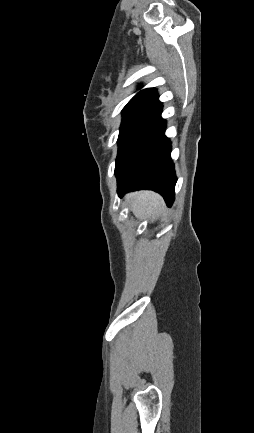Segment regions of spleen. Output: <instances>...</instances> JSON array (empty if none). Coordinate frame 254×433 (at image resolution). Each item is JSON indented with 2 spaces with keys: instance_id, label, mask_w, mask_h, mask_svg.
Segmentation results:
<instances>
[{
  "instance_id": "spleen-1",
  "label": "spleen",
  "mask_w": 254,
  "mask_h": 433,
  "mask_svg": "<svg viewBox=\"0 0 254 433\" xmlns=\"http://www.w3.org/2000/svg\"><path fill=\"white\" fill-rule=\"evenodd\" d=\"M164 208L163 199L156 193L141 191L133 195L131 211L139 220L154 221Z\"/></svg>"
}]
</instances>
